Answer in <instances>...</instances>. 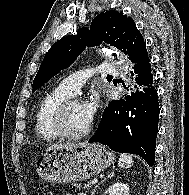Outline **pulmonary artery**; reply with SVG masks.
Here are the masks:
<instances>
[{
  "mask_svg": "<svg viewBox=\"0 0 189 195\" xmlns=\"http://www.w3.org/2000/svg\"><path fill=\"white\" fill-rule=\"evenodd\" d=\"M100 75L111 73L113 70L110 69V64H101ZM90 74L85 72H75L70 76L64 78L61 82V87L71 95H75L80 90L81 86L89 79Z\"/></svg>",
  "mask_w": 189,
  "mask_h": 195,
  "instance_id": "e3ab8cb5",
  "label": "pulmonary artery"
}]
</instances>
